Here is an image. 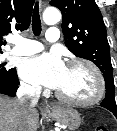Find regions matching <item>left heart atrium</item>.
<instances>
[{"instance_id":"obj_1","label":"left heart atrium","mask_w":117,"mask_h":131,"mask_svg":"<svg viewBox=\"0 0 117 131\" xmlns=\"http://www.w3.org/2000/svg\"><path fill=\"white\" fill-rule=\"evenodd\" d=\"M66 66L57 53H46L24 59L19 67L23 79L34 84L57 89L65 75Z\"/></svg>"}]
</instances>
